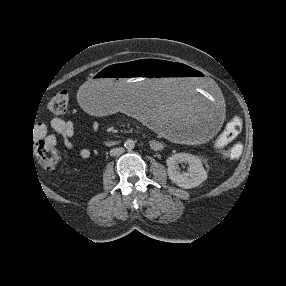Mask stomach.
Segmentation results:
<instances>
[{"label": "stomach", "instance_id": "stomach-1", "mask_svg": "<svg viewBox=\"0 0 286 286\" xmlns=\"http://www.w3.org/2000/svg\"><path fill=\"white\" fill-rule=\"evenodd\" d=\"M78 100L100 115L117 108L135 114L180 144L213 139L227 119L224 96L205 74L160 57L129 58L106 68L80 88Z\"/></svg>", "mask_w": 286, "mask_h": 286}]
</instances>
